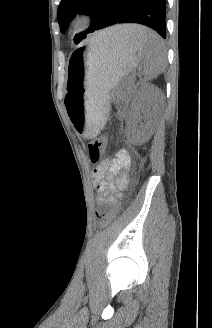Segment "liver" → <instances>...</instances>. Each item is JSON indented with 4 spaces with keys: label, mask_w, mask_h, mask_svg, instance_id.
<instances>
[{
    "label": "liver",
    "mask_w": 212,
    "mask_h": 328,
    "mask_svg": "<svg viewBox=\"0 0 212 328\" xmlns=\"http://www.w3.org/2000/svg\"><path fill=\"white\" fill-rule=\"evenodd\" d=\"M135 25H118L97 33L91 40L100 39L102 41L111 39L134 40Z\"/></svg>",
    "instance_id": "1"
}]
</instances>
